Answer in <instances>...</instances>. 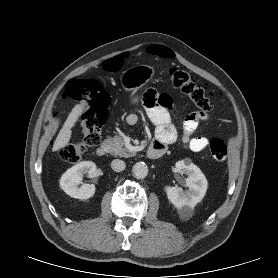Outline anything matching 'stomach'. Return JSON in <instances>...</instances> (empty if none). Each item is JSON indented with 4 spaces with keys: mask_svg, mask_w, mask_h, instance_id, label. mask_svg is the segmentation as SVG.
Listing matches in <instances>:
<instances>
[{
    "mask_svg": "<svg viewBox=\"0 0 278 278\" xmlns=\"http://www.w3.org/2000/svg\"><path fill=\"white\" fill-rule=\"evenodd\" d=\"M154 75L155 69L152 66L135 65L123 72L121 84L127 91H136L143 87Z\"/></svg>",
    "mask_w": 278,
    "mask_h": 278,
    "instance_id": "0dacf381",
    "label": "stomach"
}]
</instances>
